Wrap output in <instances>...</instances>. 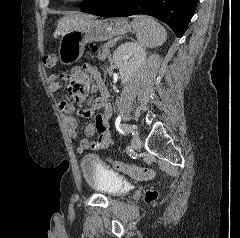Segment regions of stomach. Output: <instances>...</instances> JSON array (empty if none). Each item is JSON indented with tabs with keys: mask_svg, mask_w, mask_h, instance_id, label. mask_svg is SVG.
Returning a JSON list of instances; mask_svg holds the SVG:
<instances>
[{
	"mask_svg": "<svg viewBox=\"0 0 240 238\" xmlns=\"http://www.w3.org/2000/svg\"><path fill=\"white\" fill-rule=\"evenodd\" d=\"M131 25L123 18L90 19L81 26L61 35L58 57L63 65H71L78 61L89 42L109 40L117 35L127 33Z\"/></svg>",
	"mask_w": 240,
	"mask_h": 238,
	"instance_id": "0dacf381",
	"label": "stomach"
}]
</instances>
